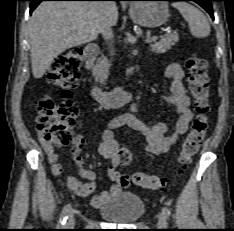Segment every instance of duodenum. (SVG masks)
<instances>
[{
	"mask_svg": "<svg viewBox=\"0 0 234 231\" xmlns=\"http://www.w3.org/2000/svg\"><path fill=\"white\" fill-rule=\"evenodd\" d=\"M99 54V47L95 43L88 44L83 52V60L90 71ZM91 78V77H90ZM95 100L104 108L111 109L123 106L133 97V91L129 88H116L110 91H103L98 87L93 90Z\"/></svg>",
	"mask_w": 234,
	"mask_h": 231,
	"instance_id": "duodenum-1",
	"label": "duodenum"
}]
</instances>
